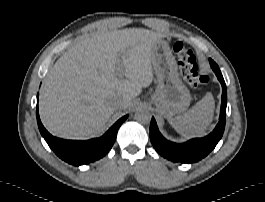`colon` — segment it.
I'll return each mask as SVG.
<instances>
[{
  "label": "colon",
  "mask_w": 265,
  "mask_h": 202,
  "mask_svg": "<svg viewBox=\"0 0 265 202\" xmlns=\"http://www.w3.org/2000/svg\"><path fill=\"white\" fill-rule=\"evenodd\" d=\"M173 50L184 80L192 87H199L206 82L207 76L199 72L194 51L180 41L173 43Z\"/></svg>",
  "instance_id": "colon-1"
}]
</instances>
